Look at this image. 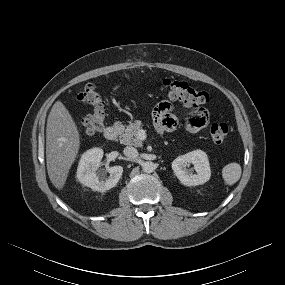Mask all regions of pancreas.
<instances>
[{
    "label": "pancreas",
    "instance_id": "pancreas-1",
    "mask_svg": "<svg viewBox=\"0 0 285 285\" xmlns=\"http://www.w3.org/2000/svg\"><path fill=\"white\" fill-rule=\"evenodd\" d=\"M115 126L120 129V142L122 144L135 147L142 146V141L138 137V132L142 128L141 121L129 123L126 128L121 123H116Z\"/></svg>",
    "mask_w": 285,
    "mask_h": 285
}]
</instances>
